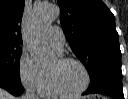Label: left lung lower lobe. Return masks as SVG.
Wrapping results in <instances>:
<instances>
[{
    "mask_svg": "<svg viewBox=\"0 0 128 99\" xmlns=\"http://www.w3.org/2000/svg\"><path fill=\"white\" fill-rule=\"evenodd\" d=\"M90 79V85L83 95L100 93L114 99H124L120 64H102L90 75Z\"/></svg>",
    "mask_w": 128,
    "mask_h": 99,
    "instance_id": "obj_1",
    "label": "left lung lower lobe"
}]
</instances>
